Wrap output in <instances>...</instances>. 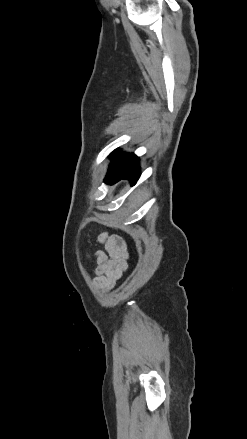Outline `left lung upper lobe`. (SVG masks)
Here are the masks:
<instances>
[{
  "mask_svg": "<svg viewBox=\"0 0 247 439\" xmlns=\"http://www.w3.org/2000/svg\"><path fill=\"white\" fill-rule=\"evenodd\" d=\"M113 154V161L112 164L110 165V169L111 170H121L123 169L127 162H128V158L130 154H117L115 152H112Z\"/></svg>",
  "mask_w": 247,
  "mask_h": 439,
  "instance_id": "1",
  "label": "left lung upper lobe"
}]
</instances>
